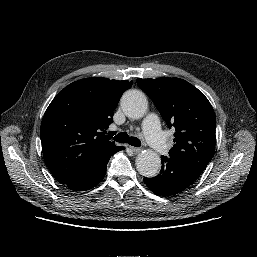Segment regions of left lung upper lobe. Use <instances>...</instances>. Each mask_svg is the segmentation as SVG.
Wrapping results in <instances>:
<instances>
[{
	"label": "left lung upper lobe",
	"instance_id": "left-lung-upper-lobe-1",
	"mask_svg": "<svg viewBox=\"0 0 257 257\" xmlns=\"http://www.w3.org/2000/svg\"><path fill=\"white\" fill-rule=\"evenodd\" d=\"M162 118L176 130L169 156L203 172L215 152L214 110L196 87L180 78L137 79Z\"/></svg>",
	"mask_w": 257,
	"mask_h": 257
}]
</instances>
